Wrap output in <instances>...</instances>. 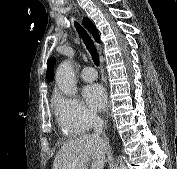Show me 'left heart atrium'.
Instances as JSON below:
<instances>
[{"instance_id":"1","label":"left heart atrium","mask_w":177,"mask_h":169,"mask_svg":"<svg viewBox=\"0 0 177 169\" xmlns=\"http://www.w3.org/2000/svg\"><path fill=\"white\" fill-rule=\"evenodd\" d=\"M83 97L86 104L93 111H101L107 103V94L100 84H90L83 89Z\"/></svg>"}]
</instances>
